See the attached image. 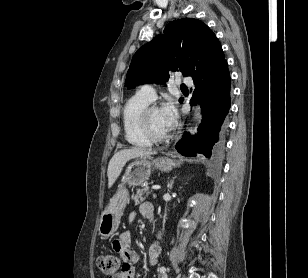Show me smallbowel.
Instances as JSON below:
<instances>
[{
  "label": "small bowel",
  "mask_w": 308,
  "mask_h": 278,
  "mask_svg": "<svg viewBox=\"0 0 308 278\" xmlns=\"http://www.w3.org/2000/svg\"><path fill=\"white\" fill-rule=\"evenodd\" d=\"M142 216L152 218L154 215V207L150 203H143L139 209ZM135 213H131L129 220L132 221ZM161 233L158 234L160 239ZM113 250L120 255L124 263L121 271L111 276V278H136L135 264L138 262V254L132 249V236L129 231L121 233L118 239L113 241ZM161 253L159 241L153 242L149 247V261L151 265L157 263L158 257Z\"/></svg>",
  "instance_id": "c3829d8e"
}]
</instances>
